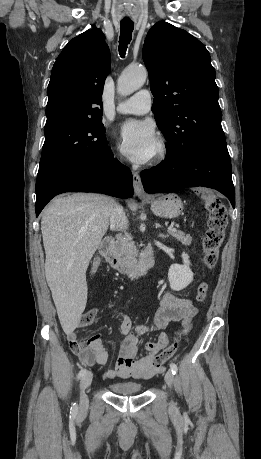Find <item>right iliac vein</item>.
<instances>
[{"instance_id": "63e3f726", "label": "right iliac vein", "mask_w": 261, "mask_h": 459, "mask_svg": "<svg viewBox=\"0 0 261 459\" xmlns=\"http://www.w3.org/2000/svg\"><path fill=\"white\" fill-rule=\"evenodd\" d=\"M93 379L92 372H87L81 379L80 382V406L82 409L88 406V398L85 393L86 389L90 386Z\"/></svg>"}]
</instances>
